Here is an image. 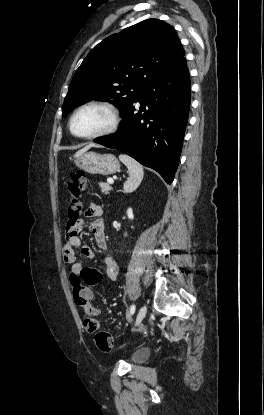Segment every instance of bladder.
Masks as SVG:
<instances>
[{
  "label": "bladder",
  "instance_id": "31cf9c89",
  "mask_svg": "<svg viewBox=\"0 0 264 415\" xmlns=\"http://www.w3.org/2000/svg\"><path fill=\"white\" fill-rule=\"evenodd\" d=\"M150 356V350L146 348H140L133 352L132 354V362L134 363H142L145 362Z\"/></svg>",
  "mask_w": 264,
  "mask_h": 415
}]
</instances>
